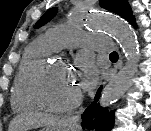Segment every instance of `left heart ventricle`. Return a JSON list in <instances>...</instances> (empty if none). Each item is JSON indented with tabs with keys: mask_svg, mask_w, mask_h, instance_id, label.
Listing matches in <instances>:
<instances>
[{
	"mask_svg": "<svg viewBox=\"0 0 151 131\" xmlns=\"http://www.w3.org/2000/svg\"><path fill=\"white\" fill-rule=\"evenodd\" d=\"M79 89L68 66L62 61H55L44 83V93L48 100L63 103L80 92Z\"/></svg>",
	"mask_w": 151,
	"mask_h": 131,
	"instance_id": "left-heart-ventricle-1",
	"label": "left heart ventricle"
}]
</instances>
